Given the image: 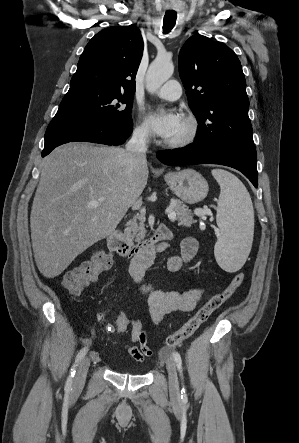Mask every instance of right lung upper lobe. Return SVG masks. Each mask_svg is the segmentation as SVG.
<instances>
[{
    "label": "right lung upper lobe",
    "mask_w": 299,
    "mask_h": 443,
    "mask_svg": "<svg viewBox=\"0 0 299 443\" xmlns=\"http://www.w3.org/2000/svg\"><path fill=\"white\" fill-rule=\"evenodd\" d=\"M143 39L133 26H113L97 33L80 56L70 88H100L134 94Z\"/></svg>",
    "instance_id": "1"
}]
</instances>
